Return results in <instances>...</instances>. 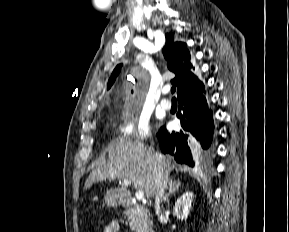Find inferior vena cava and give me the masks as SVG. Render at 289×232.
Segmentation results:
<instances>
[{"instance_id":"602c4592","label":"inferior vena cava","mask_w":289,"mask_h":232,"mask_svg":"<svg viewBox=\"0 0 289 232\" xmlns=\"http://www.w3.org/2000/svg\"><path fill=\"white\" fill-rule=\"evenodd\" d=\"M154 165V197H155V211L160 212V203L164 198V192L168 183V172L161 165V157L155 154Z\"/></svg>"}]
</instances>
